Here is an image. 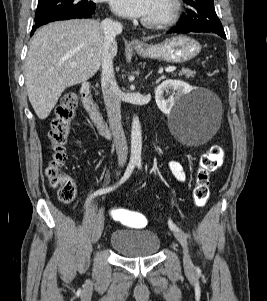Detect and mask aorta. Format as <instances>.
<instances>
[{"label":"aorta","mask_w":267,"mask_h":301,"mask_svg":"<svg viewBox=\"0 0 267 301\" xmlns=\"http://www.w3.org/2000/svg\"><path fill=\"white\" fill-rule=\"evenodd\" d=\"M142 151V131L138 117H134L131 126V159L140 160Z\"/></svg>","instance_id":"obj_1"}]
</instances>
